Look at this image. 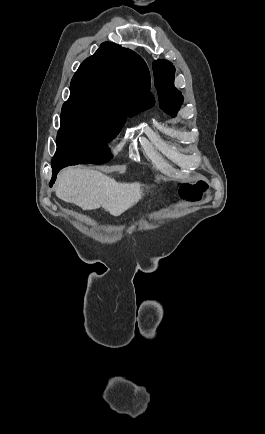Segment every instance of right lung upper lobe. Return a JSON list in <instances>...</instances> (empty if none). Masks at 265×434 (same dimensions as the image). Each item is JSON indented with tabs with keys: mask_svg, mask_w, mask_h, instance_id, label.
<instances>
[{
	"mask_svg": "<svg viewBox=\"0 0 265 434\" xmlns=\"http://www.w3.org/2000/svg\"><path fill=\"white\" fill-rule=\"evenodd\" d=\"M70 88H91L108 98L146 108L154 105L144 60L130 49L105 42L80 65Z\"/></svg>",
	"mask_w": 265,
	"mask_h": 434,
	"instance_id": "obj_1",
	"label": "right lung upper lobe"
}]
</instances>
